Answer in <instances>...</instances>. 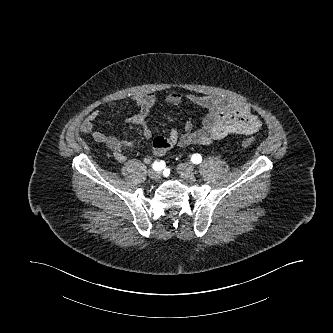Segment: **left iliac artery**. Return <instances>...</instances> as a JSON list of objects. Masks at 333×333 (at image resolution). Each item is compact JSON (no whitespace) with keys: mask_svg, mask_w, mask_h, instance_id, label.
<instances>
[{"mask_svg":"<svg viewBox=\"0 0 333 333\" xmlns=\"http://www.w3.org/2000/svg\"><path fill=\"white\" fill-rule=\"evenodd\" d=\"M191 161H192L194 164H199V163H201V161H202V157H201L200 154H194V155H192V157H191Z\"/></svg>","mask_w":333,"mask_h":333,"instance_id":"44dca946","label":"left iliac artery"}]
</instances>
